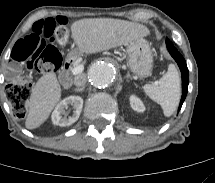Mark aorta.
Wrapping results in <instances>:
<instances>
[{
  "label": "aorta",
  "mask_w": 215,
  "mask_h": 183,
  "mask_svg": "<svg viewBox=\"0 0 215 183\" xmlns=\"http://www.w3.org/2000/svg\"><path fill=\"white\" fill-rule=\"evenodd\" d=\"M116 77V68L107 61H98L91 65L88 78L91 84L97 88L110 86Z\"/></svg>",
  "instance_id": "aorta-1"
}]
</instances>
